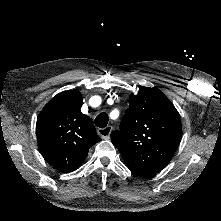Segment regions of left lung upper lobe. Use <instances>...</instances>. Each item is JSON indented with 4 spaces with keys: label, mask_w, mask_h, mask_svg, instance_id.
I'll list each match as a JSON object with an SVG mask.
<instances>
[{
    "label": "left lung upper lobe",
    "mask_w": 221,
    "mask_h": 221,
    "mask_svg": "<svg viewBox=\"0 0 221 221\" xmlns=\"http://www.w3.org/2000/svg\"><path fill=\"white\" fill-rule=\"evenodd\" d=\"M182 136L180 116L158 88L143 87L130 95L120 131L111 141L136 175L151 176L171 160Z\"/></svg>",
    "instance_id": "1"
}]
</instances>
